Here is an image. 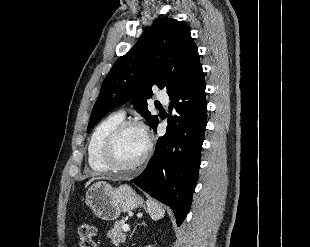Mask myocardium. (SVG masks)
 <instances>
[{
    "instance_id": "1",
    "label": "myocardium",
    "mask_w": 310,
    "mask_h": 247,
    "mask_svg": "<svg viewBox=\"0 0 310 247\" xmlns=\"http://www.w3.org/2000/svg\"><path fill=\"white\" fill-rule=\"evenodd\" d=\"M128 128H138L142 130L146 136V149L140 159L132 165L122 166L116 163L114 157L115 144L122 134ZM152 151V141L146 126L135 120H122L118 123L105 138L101 148V160L108 171L113 173H126L140 169L148 160Z\"/></svg>"
}]
</instances>
